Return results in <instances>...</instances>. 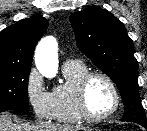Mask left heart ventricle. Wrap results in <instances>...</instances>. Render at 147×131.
Listing matches in <instances>:
<instances>
[{
  "instance_id": "left-heart-ventricle-1",
  "label": "left heart ventricle",
  "mask_w": 147,
  "mask_h": 131,
  "mask_svg": "<svg viewBox=\"0 0 147 131\" xmlns=\"http://www.w3.org/2000/svg\"><path fill=\"white\" fill-rule=\"evenodd\" d=\"M86 102L88 110L93 115H103L112 108L114 104L113 92L103 78L95 77L89 82Z\"/></svg>"
}]
</instances>
